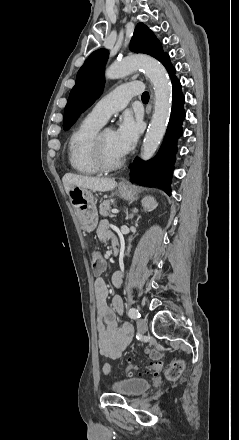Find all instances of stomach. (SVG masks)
Returning <instances> with one entry per match:
<instances>
[{"label": "stomach", "mask_w": 239, "mask_h": 440, "mask_svg": "<svg viewBox=\"0 0 239 440\" xmlns=\"http://www.w3.org/2000/svg\"><path fill=\"white\" fill-rule=\"evenodd\" d=\"M120 198L124 200H136L140 188H118ZM70 202L75 210V214L85 232H93L98 224V212L94 202V196L86 188H74L69 194Z\"/></svg>", "instance_id": "obj_1"}]
</instances>
